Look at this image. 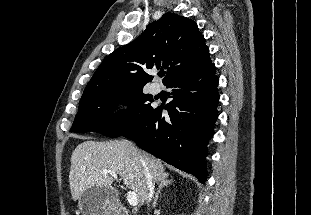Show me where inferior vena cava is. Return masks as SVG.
I'll list each match as a JSON object with an SVG mask.
<instances>
[{
    "label": "inferior vena cava",
    "instance_id": "602c4592",
    "mask_svg": "<svg viewBox=\"0 0 311 215\" xmlns=\"http://www.w3.org/2000/svg\"><path fill=\"white\" fill-rule=\"evenodd\" d=\"M143 162V166L146 172V176H147V185H148V196H147V203H149L152 200L153 194H154V183H153V179L152 176L149 173L148 167L146 166L145 162L142 160Z\"/></svg>",
    "mask_w": 311,
    "mask_h": 215
}]
</instances>
